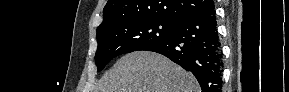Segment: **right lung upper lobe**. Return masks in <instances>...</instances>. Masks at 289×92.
<instances>
[{"label":"right lung upper lobe","mask_w":289,"mask_h":92,"mask_svg":"<svg viewBox=\"0 0 289 92\" xmlns=\"http://www.w3.org/2000/svg\"><path fill=\"white\" fill-rule=\"evenodd\" d=\"M214 7L212 0H109L97 31L115 23L142 18L180 19Z\"/></svg>","instance_id":"obj_1"}]
</instances>
